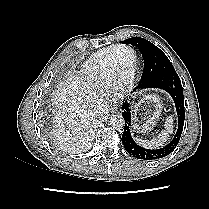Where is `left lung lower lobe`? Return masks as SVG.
<instances>
[{"label": "left lung lower lobe", "instance_id": "1", "mask_svg": "<svg viewBox=\"0 0 209 209\" xmlns=\"http://www.w3.org/2000/svg\"><path fill=\"white\" fill-rule=\"evenodd\" d=\"M145 88H158L166 91L173 99L176 107V112L178 115V129L173 138V140L168 143L166 146L160 149H146L139 146L132 138L130 126H131V113L129 110V103L125 101L123 104L124 112L122 116L125 120L124 132L122 135V143L126 151L138 158L143 160H155L163 158L169 155L177 146L184 126L185 119V110H184V96L181 81L176 73L168 72L162 74L155 78L153 81H150L147 84H139L136 89H145Z\"/></svg>", "mask_w": 209, "mask_h": 209}]
</instances>
